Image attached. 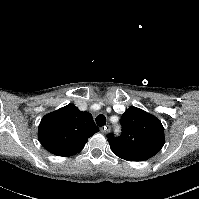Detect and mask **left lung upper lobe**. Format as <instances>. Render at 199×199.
<instances>
[{
  "mask_svg": "<svg viewBox=\"0 0 199 199\" xmlns=\"http://www.w3.org/2000/svg\"><path fill=\"white\" fill-rule=\"evenodd\" d=\"M122 134L108 135L115 155L128 161H144L164 145V129L155 116L136 107L128 108L121 118Z\"/></svg>",
  "mask_w": 199,
  "mask_h": 199,
  "instance_id": "5c2ea615",
  "label": "left lung upper lobe"
}]
</instances>
